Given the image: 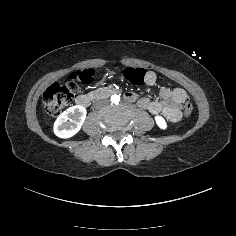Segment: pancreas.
Returning a JSON list of instances; mask_svg holds the SVG:
<instances>
[{
    "label": "pancreas",
    "mask_w": 236,
    "mask_h": 236,
    "mask_svg": "<svg viewBox=\"0 0 236 236\" xmlns=\"http://www.w3.org/2000/svg\"><path fill=\"white\" fill-rule=\"evenodd\" d=\"M89 95L90 96H93V97H96L95 95H96V91H91L90 93H89Z\"/></svg>",
    "instance_id": "pancreas-1"
}]
</instances>
